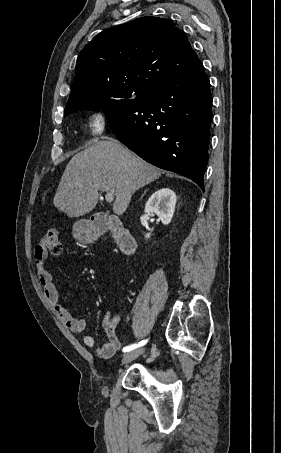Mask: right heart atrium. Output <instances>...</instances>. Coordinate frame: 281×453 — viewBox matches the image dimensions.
<instances>
[{
    "label": "right heart atrium",
    "instance_id": "right-heart-atrium-1",
    "mask_svg": "<svg viewBox=\"0 0 281 453\" xmlns=\"http://www.w3.org/2000/svg\"><path fill=\"white\" fill-rule=\"evenodd\" d=\"M108 122L109 116L103 109H94L88 115L87 129L93 137H98L105 131ZM95 156V153L90 154V157Z\"/></svg>",
    "mask_w": 281,
    "mask_h": 453
}]
</instances>
